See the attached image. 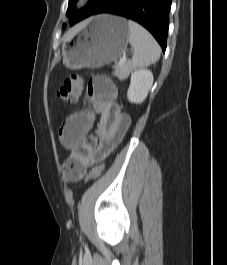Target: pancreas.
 <instances>
[{"label":"pancreas","instance_id":"1","mask_svg":"<svg viewBox=\"0 0 227 265\" xmlns=\"http://www.w3.org/2000/svg\"><path fill=\"white\" fill-rule=\"evenodd\" d=\"M131 72V66L129 63H124L121 66H117V68L114 71V75L118 77L120 80L126 79Z\"/></svg>","mask_w":227,"mask_h":265}]
</instances>
